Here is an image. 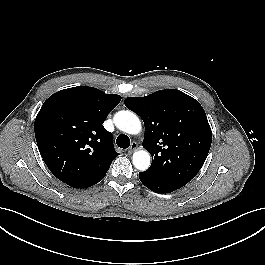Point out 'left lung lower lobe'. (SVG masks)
I'll list each match as a JSON object with an SVG mask.
<instances>
[{
	"instance_id": "0a47b994",
	"label": "left lung lower lobe",
	"mask_w": 265,
	"mask_h": 265,
	"mask_svg": "<svg viewBox=\"0 0 265 265\" xmlns=\"http://www.w3.org/2000/svg\"><path fill=\"white\" fill-rule=\"evenodd\" d=\"M140 181L150 190L156 193H170L181 187L172 185L145 172H139Z\"/></svg>"
}]
</instances>
